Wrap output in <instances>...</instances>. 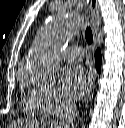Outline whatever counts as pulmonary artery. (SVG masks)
<instances>
[{
	"mask_svg": "<svg viewBox=\"0 0 125 128\" xmlns=\"http://www.w3.org/2000/svg\"><path fill=\"white\" fill-rule=\"evenodd\" d=\"M61 56L67 61H80L83 58V50L80 46H71L62 51Z\"/></svg>",
	"mask_w": 125,
	"mask_h": 128,
	"instance_id": "obj_1",
	"label": "pulmonary artery"
}]
</instances>
